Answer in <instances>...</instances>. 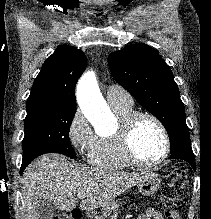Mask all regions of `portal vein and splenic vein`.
Segmentation results:
<instances>
[{
  "label": "portal vein and splenic vein",
  "instance_id": "1",
  "mask_svg": "<svg viewBox=\"0 0 211 219\" xmlns=\"http://www.w3.org/2000/svg\"><path fill=\"white\" fill-rule=\"evenodd\" d=\"M87 195L85 193H79L77 194V197L80 199H84Z\"/></svg>",
  "mask_w": 211,
  "mask_h": 219
}]
</instances>
